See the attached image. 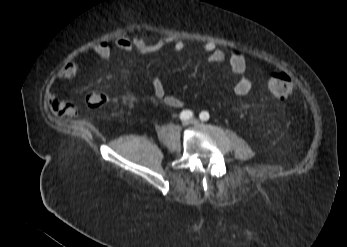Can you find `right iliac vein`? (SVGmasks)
Returning a JSON list of instances; mask_svg holds the SVG:
<instances>
[{
    "instance_id": "1",
    "label": "right iliac vein",
    "mask_w": 347,
    "mask_h": 247,
    "mask_svg": "<svg viewBox=\"0 0 347 247\" xmlns=\"http://www.w3.org/2000/svg\"><path fill=\"white\" fill-rule=\"evenodd\" d=\"M182 124L183 126H188L191 124V121L187 120V121H184Z\"/></svg>"
}]
</instances>
